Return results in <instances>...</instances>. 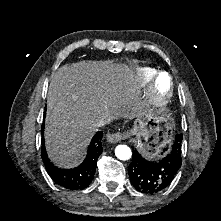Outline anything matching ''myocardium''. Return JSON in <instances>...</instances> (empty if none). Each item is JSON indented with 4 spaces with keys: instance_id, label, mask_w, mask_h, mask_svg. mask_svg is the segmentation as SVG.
Returning a JSON list of instances; mask_svg holds the SVG:
<instances>
[{
    "instance_id": "myocardium-1",
    "label": "myocardium",
    "mask_w": 221,
    "mask_h": 221,
    "mask_svg": "<svg viewBox=\"0 0 221 221\" xmlns=\"http://www.w3.org/2000/svg\"><path fill=\"white\" fill-rule=\"evenodd\" d=\"M160 75H166L168 77V80H169V88H168V91L161 97H155V95H152L151 97V100L160 105V106H164L166 104H168V102L170 101V99L172 98V95H173V89H174V86H173V80H172V77L171 75L166 72V71H162V72H159L153 79V86H155L156 82H157V79ZM154 92V91H153Z\"/></svg>"
}]
</instances>
